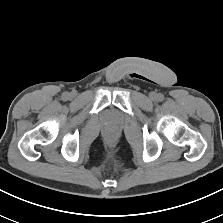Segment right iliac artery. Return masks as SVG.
Listing matches in <instances>:
<instances>
[{
    "mask_svg": "<svg viewBox=\"0 0 223 223\" xmlns=\"http://www.w3.org/2000/svg\"><path fill=\"white\" fill-rule=\"evenodd\" d=\"M64 98H68V95L67 94H64Z\"/></svg>",
    "mask_w": 223,
    "mask_h": 223,
    "instance_id": "82829eb1",
    "label": "right iliac artery"
}]
</instances>
